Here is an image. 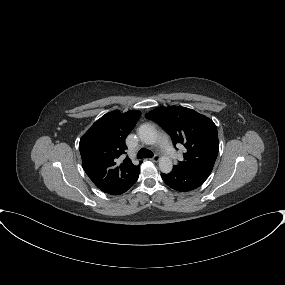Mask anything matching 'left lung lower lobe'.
Returning a JSON list of instances; mask_svg holds the SVG:
<instances>
[{"label": "left lung lower lobe", "instance_id": "obj_1", "mask_svg": "<svg viewBox=\"0 0 285 285\" xmlns=\"http://www.w3.org/2000/svg\"><path fill=\"white\" fill-rule=\"evenodd\" d=\"M212 170L181 169L176 166L168 174H161L163 181L174 190L187 192L198 188L208 178Z\"/></svg>", "mask_w": 285, "mask_h": 285}]
</instances>
